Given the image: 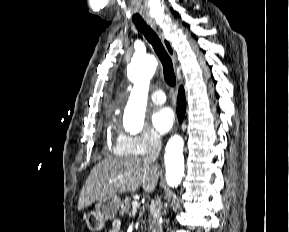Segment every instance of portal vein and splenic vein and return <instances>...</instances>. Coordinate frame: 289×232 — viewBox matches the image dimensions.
I'll use <instances>...</instances> for the list:
<instances>
[{"mask_svg": "<svg viewBox=\"0 0 289 232\" xmlns=\"http://www.w3.org/2000/svg\"><path fill=\"white\" fill-rule=\"evenodd\" d=\"M109 182L112 183L113 180L110 179ZM138 207H139V203H138L137 201H134V202L132 203V211L135 212Z\"/></svg>", "mask_w": 289, "mask_h": 232, "instance_id": "portal-vein-and-splenic-vein-1", "label": "portal vein and splenic vein"}]
</instances>
